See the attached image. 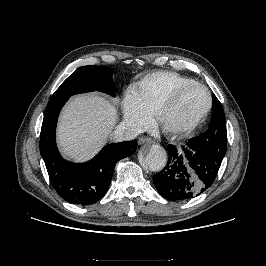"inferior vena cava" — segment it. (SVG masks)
<instances>
[{"mask_svg": "<svg viewBox=\"0 0 266 266\" xmlns=\"http://www.w3.org/2000/svg\"><path fill=\"white\" fill-rule=\"evenodd\" d=\"M141 133L140 127L129 122H121L114 131L113 138L115 141L133 140Z\"/></svg>", "mask_w": 266, "mask_h": 266, "instance_id": "obj_1", "label": "inferior vena cava"}]
</instances>
